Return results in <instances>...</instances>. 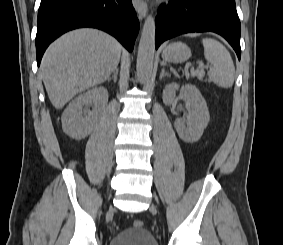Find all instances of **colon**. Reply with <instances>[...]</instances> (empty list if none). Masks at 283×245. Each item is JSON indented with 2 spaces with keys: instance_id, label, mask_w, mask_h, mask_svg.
Instances as JSON below:
<instances>
[{
  "instance_id": "obj_1",
  "label": "colon",
  "mask_w": 283,
  "mask_h": 245,
  "mask_svg": "<svg viewBox=\"0 0 283 245\" xmlns=\"http://www.w3.org/2000/svg\"><path fill=\"white\" fill-rule=\"evenodd\" d=\"M133 225H134L136 228H142L143 225H144V223H143L142 220L137 219V220H134Z\"/></svg>"
}]
</instances>
